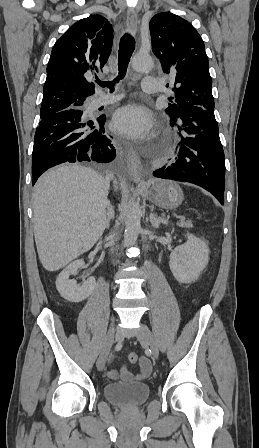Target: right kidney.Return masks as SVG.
<instances>
[{"label":"right kidney","instance_id":"1","mask_svg":"<svg viewBox=\"0 0 259 448\" xmlns=\"http://www.w3.org/2000/svg\"><path fill=\"white\" fill-rule=\"evenodd\" d=\"M83 260H75L72 264H69L61 274H59L56 280V288L61 294L62 298L68 300V302H82L89 298L95 284V278H88L84 280L83 284H77L76 280H69L72 274H76L78 268H83Z\"/></svg>","mask_w":259,"mask_h":448}]
</instances>
